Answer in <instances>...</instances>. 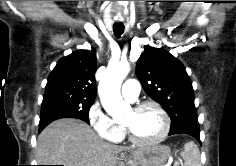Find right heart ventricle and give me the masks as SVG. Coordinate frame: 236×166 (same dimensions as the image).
Instances as JSON below:
<instances>
[{"label":"right heart ventricle","instance_id":"1","mask_svg":"<svg viewBox=\"0 0 236 166\" xmlns=\"http://www.w3.org/2000/svg\"><path fill=\"white\" fill-rule=\"evenodd\" d=\"M121 131H120V137L118 140H121L124 137V131L123 129L120 127Z\"/></svg>","mask_w":236,"mask_h":166}]
</instances>
